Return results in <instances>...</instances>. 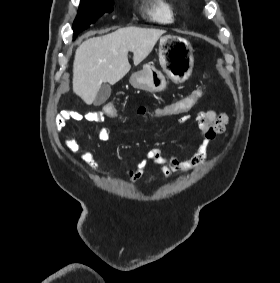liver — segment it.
Listing matches in <instances>:
<instances>
[{"label": "liver", "instance_id": "1", "mask_svg": "<svg viewBox=\"0 0 280 283\" xmlns=\"http://www.w3.org/2000/svg\"><path fill=\"white\" fill-rule=\"evenodd\" d=\"M164 33L154 28L125 27L84 41L75 52L74 93L92 104L103 83L114 85L129 72V51L133 52L134 65H138Z\"/></svg>", "mask_w": 280, "mask_h": 283}]
</instances>
